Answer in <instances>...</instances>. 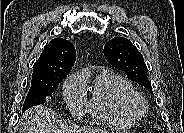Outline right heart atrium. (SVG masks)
Returning a JSON list of instances; mask_svg holds the SVG:
<instances>
[{
  "mask_svg": "<svg viewBox=\"0 0 184 133\" xmlns=\"http://www.w3.org/2000/svg\"><path fill=\"white\" fill-rule=\"evenodd\" d=\"M63 96L74 115H82L85 108L86 85L81 74L68 77L63 85Z\"/></svg>",
  "mask_w": 184,
  "mask_h": 133,
  "instance_id": "right-heart-atrium-1",
  "label": "right heart atrium"
}]
</instances>
